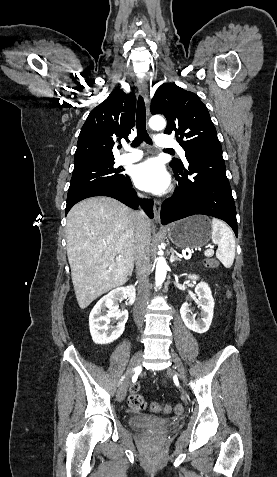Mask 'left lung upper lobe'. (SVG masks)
I'll list each match as a JSON object with an SVG mask.
<instances>
[{"label":"left lung upper lobe","mask_w":277,"mask_h":477,"mask_svg":"<svg viewBox=\"0 0 277 477\" xmlns=\"http://www.w3.org/2000/svg\"><path fill=\"white\" fill-rule=\"evenodd\" d=\"M151 113L166 117L164 133L175 134L185 156L204 149H221L209 112L195 93L173 83H164L151 101ZM170 166L182 167L183 163L174 159Z\"/></svg>","instance_id":"obj_1"}]
</instances>
